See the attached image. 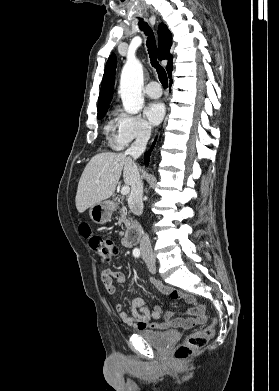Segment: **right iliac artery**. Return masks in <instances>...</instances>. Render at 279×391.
I'll list each match as a JSON object with an SVG mask.
<instances>
[{
    "mask_svg": "<svg viewBox=\"0 0 279 391\" xmlns=\"http://www.w3.org/2000/svg\"><path fill=\"white\" fill-rule=\"evenodd\" d=\"M133 255H134L136 258H138V257L140 256V250H139L138 248H135V249L133 250Z\"/></svg>",
    "mask_w": 279,
    "mask_h": 391,
    "instance_id": "obj_1",
    "label": "right iliac artery"
}]
</instances>
